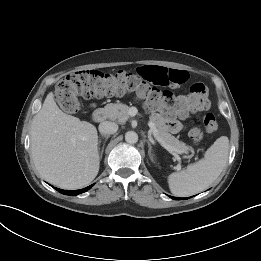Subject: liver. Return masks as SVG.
I'll list each match as a JSON object with an SVG mask.
<instances>
[{
  "instance_id": "liver-1",
  "label": "liver",
  "mask_w": 261,
  "mask_h": 261,
  "mask_svg": "<svg viewBox=\"0 0 261 261\" xmlns=\"http://www.w3.org/2000/svg\"><path fill=\"white\" fill-rule=\"evenodd\" d=\"M31 157L40 175L63 189L90 184L99 171L96 127L62 112L50 92L34 116Z\"/></svg>"
}]
</instances>
